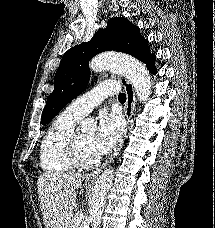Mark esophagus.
<instances>
[{
  "instance_id": "esophagus-1",
  "label": "esophagus",
  "mask_w": 215,
  "mask_h": 228,
  "mask_svg": "<svg viewBox=\"0 0 215 228\" xmlns=\"http://www.w3.org/2000/svg\"><path fill=\"white\" fill-rule=\"evenodd\" d=\"M120 83L126 93V106L124 109V115H125V118L127 121V128L124 131L123 139L119 142V145L116 148L115 152L110 156V158L107 160V162L104 164V166H102L101 168H99L98 170H95L94 172H92L90 174V176L93 178H97L100 175V173L103 171V169L107 165H109V163H111L113 161V159L118 155V153L121 150L122 145L124 143V139H125V136L127 135L128 129L131 125L132 115L134 112L135 101H136L134 87H133L132 83H130L126 78H121Z\"/></svg>"
}]
</instances>
